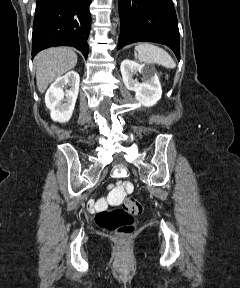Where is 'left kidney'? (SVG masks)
I'll return each instance as SVG.
<instances>
[{"mask_svg":"<svg viewBox=\"0 0 240 288\" xmlns=\"http://www.w3.org/2000/svg\"><path fill=\"white\" fill-rule=\"evenodd\" d=\"M120 70L126 88L135 92V99L143 106L151 107L161 99L162 88L154 68L125 59ZM137 72L143 75L144 82L139 83L133 78Z\"/></svg>","mask_w":240,"mask_h":288,"instance_id":"5707ae66","label":"left kidney"}]
</instances>
